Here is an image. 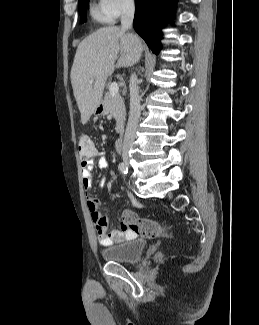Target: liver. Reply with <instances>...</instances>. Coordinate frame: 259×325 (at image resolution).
I'll use <instances>...</instances> for the list:
<instances>
[{
  "label": "liver",
  "instance_id": "obj_1",
  "mask_svg": "<svg viewBox=\"0 0 259 325\" xmlns=\"http://www.w3.org/2000/svg\"><path fill=\"white\" fill-rule=\"evenodd\" d=\"M142 50L137 35L116 26L103 27L78 45L70 76L82 124L88 122L101 102L107 78L115 67L133 66Z\"/></svg>",
  "mask_w": 259,
  "mask_h": 325
}]
</instances>
